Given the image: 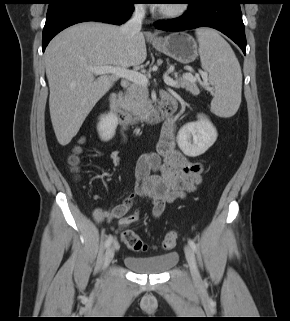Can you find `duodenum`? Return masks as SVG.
<instances>
[{"mask_svg":"<svg viewBox=\"0 0 290 321\" xmlns=\"http://www.w3.org/2000/svg\"><path fill=\"white\" fill-rule=\"evenodd\" d=\"M109 108L113 116L124 125L138 123L155 124L171 116L178 109V102L170 94H166L162 96L160 104L153 111L145 114H136L123 107L121 93L115 91L109 97Z\"/></svg>","mask_w":290,"mask_h":321,"instance_id":"duodenum-1","label":"duodenum"}]
</instances>
